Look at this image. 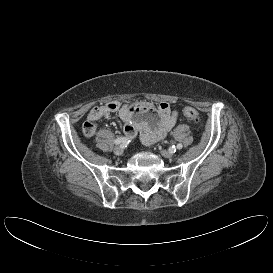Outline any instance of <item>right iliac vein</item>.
Segmentation results:
<instances>
[{"mask_svg": "<svg viewBox=\"0 0 273 273\" xmlns=\"http://www.w3.org/2000/svg\"><path fill=\"white\" fill-rule=\"evenodd\" d=\"M123 153V147L117 146L114 148V154L115 155H121Z\"/></svg>", "mask_w": 273, "mask_h": 273, "instance_id": "right-iliac-vein-1", "label": "right iliac vein"}]
</instances>
